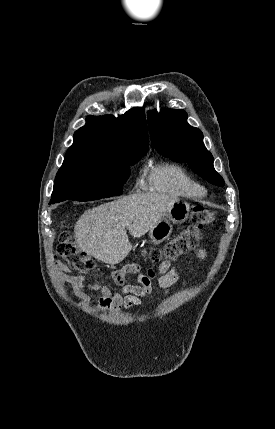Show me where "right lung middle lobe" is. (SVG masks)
I'll list each match as a JSON object with an SVG mask.
<instances>
[{
    "mask_svg": "<svg viewBox=\"0 0 275 429\" xmlns=\"http://www.w3.org/2000/svg\"><path fill=\"white\" fill-rule=\"evenodd\" d=\"M143 155L64 160L56 175L52 201H91L121 195L122 186L130 176L129 165Z\"/></svg>",
    "mask_w": 275,
    "mask_h": 429,
    "instance_id": "1",
    "label": "right lung middle lobe"
}]
</instances>
